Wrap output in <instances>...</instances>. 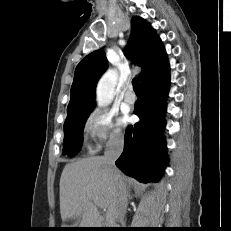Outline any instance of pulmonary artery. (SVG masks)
<instances>
[{"mask_svg":"<svg viewBox=\"0 0 231 231\" xmlns=\"http://www.w3.org/2000/svg\"><path fill=\"white\" fill-rule=\"evenodd\" d=\"M124 101L128 104H133L136 101V96L133 93L131 86H129L128 90L124 95Z\"/></svg>","mask_w":231,"mask_h":231,"instance_id":"obj_1","label":"pulmonary artery"}]
</instances>
